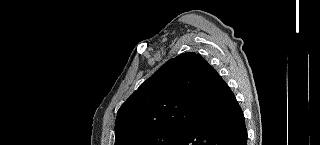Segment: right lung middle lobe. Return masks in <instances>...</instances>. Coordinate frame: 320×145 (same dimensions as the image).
I'll list each match as a JSON object with an SVG mask.
<instances>
[{
	"label": "right lung middle lobe",
	"mask_w": 320,
	"mask_h": 145,
	"mask_svg": "<svg viewBox=\"0 0 320 145\" xmlns=\"http://www.w3.org/2000/svg\"><path fill=\"white\" fill-rule=\"evenodd\" d=\"M185 128H170L152 132L131 145H171Z\"/></svg>",
	"instance_id": "obj_1"
}]
</instances>
